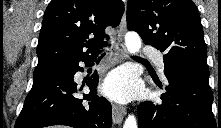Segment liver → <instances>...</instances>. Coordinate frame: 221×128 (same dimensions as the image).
Instances as JSON below:
<instances>
[{
	"label": "liver",
	"instance_id": "obj_1",
	"mask_svg": "<svg viewBox=\"0 0 221 128\" xmlns=\"http://www.w3.org/2000/svg\"><path fill=\"white\" fill-rule=\"evenodd\" d=\"M55 128H66V127H55Z\"/></svg>",
	"mask_w": 221,
	"mask_h": 128
}]
</instances>
